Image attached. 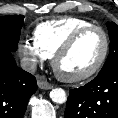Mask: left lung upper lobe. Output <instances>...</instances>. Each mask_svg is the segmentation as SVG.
<instances>
[{
    "instance_id": "left-lung-upper-lobe-1",
    "label": "left lung upper lobe",
    "mask_w": 118,
    "mask_h": 118,
    "mask_svg": "<svg viewBox=\"0 0 118 118\" xmlns=\"http://www.w3.org/2000/svg\"><path fill=\"white\" fill-rule=\"evenodd\" d=\"M107 28L110 38V52L99 74L118 68V25L108 22Z\"/></svg>"
}]
</instances>
